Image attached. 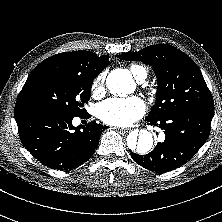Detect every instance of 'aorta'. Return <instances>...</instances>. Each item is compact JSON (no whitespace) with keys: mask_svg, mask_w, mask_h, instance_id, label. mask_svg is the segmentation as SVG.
I'll return each instance as SVG.
<instances>
[{"mask_svg":"<svg viewBox=\"0 0 222 222\" xmlns=\"http://www.w3.org/2000/svg\"><path fill=\"white\" fill-rule=\"evenodd\" d=\"M106 85L112 94L126 95L135 90V83L126 69H115L109 73ZM128 148L139 155L147 154L153 146L152 134L144 129L132 131L127 137Z\"/></svg>","mask_w":222,"mask_h":222,"instance_id":"obj_1","label":"aorta"}]
</instances>
